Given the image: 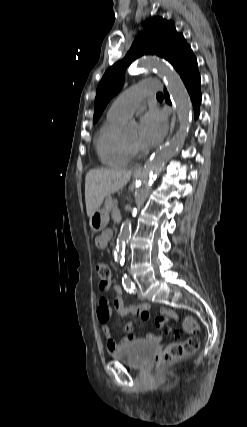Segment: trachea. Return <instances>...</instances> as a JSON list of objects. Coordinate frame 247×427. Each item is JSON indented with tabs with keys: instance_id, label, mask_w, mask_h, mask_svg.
I'll return each mask as SVG.
<instances>
[{
	"instance_id": "1",
	"label": "trachea",
	"mask_w": 247,
	"mask_h": 427,
	"mask_svg": "<svg viewBox=\"0 0 247 427\" xmlns=\"http://www.w3.org/2000/svg\"><path fill=\"white\" fill-rule=\"evenodd\" d=\"M161 96H163V94H162V93H158V94H157V97H161Z\"/></svg>"
}]
</instances>
